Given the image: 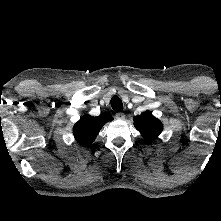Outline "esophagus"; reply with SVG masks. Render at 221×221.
<instances>
[{"label":"esophagus","instance_id":"34e87169","mask_svg":"<svg viewBox=\"0 0 221 221\" xmlns=\"http://www.w3.org/2000/svg\"><path fill=\"white\" fill-rule=\"evenodd\" d=\"M115 117L119 120H124L125 119V114L122 112L116 113Z\"/></svg>","mask_w":221,"mask_h":221}]
</instances>
